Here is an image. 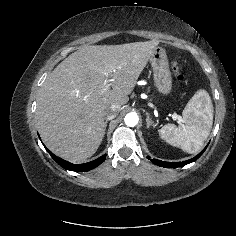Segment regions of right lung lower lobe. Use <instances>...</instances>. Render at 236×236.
<instances>
[{
  "instance_id": "obj_1",
  "label": "right lung lower lobe",
  "mask_w": 236,
  "mask_h": 236,
  "mask_svg": "<svg viewBox=\"0 0 236 236\" xmlns=\"http://www.w3.org/2000/svg\"><path fill=\"white\" fill-rule=\"evenodd\" d=\"M46 150L48 151V153L50 154V156L64 169L66 170H70V171H75V172H86L89 171L95 167H97L98 165H100L102 162H104L106 155L104 154L103 156L88 162V163H84V164H72L70 162H67L59 157H57L56 155H54L50 150H48L46 148Z\"/></svg>"
}]
</instances>
